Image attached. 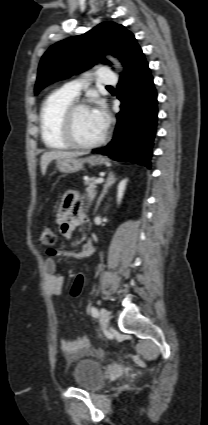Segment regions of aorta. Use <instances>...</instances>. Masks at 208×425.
I'll use <instances>...</instances> for the list:
<instances>
[{
    "mask_svg": "<svg viewBox=\"0 0 208 425\" xmlns=\"http://www.w3.org/2000/svg\"><path fill=\"white\" fill-rule=\"evenodd\" d=\"M107 58L114 64V66L118 69V70H122V66L120 65L119 61L116 60L115 58L111 57V56H107Z\"/></svg>",
    "mask_w": 208,
    "mask_h": 425,
    "instance_id": "obj_1",
    "label": "aorta"
}]
</instances>
